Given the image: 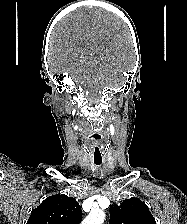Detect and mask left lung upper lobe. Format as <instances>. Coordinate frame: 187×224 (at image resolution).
Instances as JSON below:
<instances>
[{"label": "left lung upper lobe", "mask_w": 187, "mask_h": 224, "mask_svg": "<svg viewBox=\"0 0 187 224\" xmlns=\"http://www.w3.org/2000/svg\"><path fill=\"white\" fill-rule=\"evenodd\" d=\"M110 224H156L147 205L138 198L126 199L110 208Z\"/></svg>", "instance_id": "left-lung-upper-lobe-1"}]
</instances>
